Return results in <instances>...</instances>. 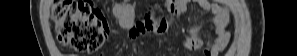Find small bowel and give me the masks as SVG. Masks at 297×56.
<instances>
[{"instance_id":"c3829d8e","label":"small bowel","mask_w":297,"mask_h":56,"mask_svg":"<svg viewBox=\"0 0 297 56\" xmlns=\"http://www.w3.org/2000/svg\"><path fill=\"white\" fill-rule=\"evenodd\" d=\"M188 3V0H169L166 2V9L170 14L181 15L187 11ZM194 3L205 14H215L211 26L216 33V38L213 40L203 39L200 36V26L195 25L186 30L182 37V45L189 50L203 49V53L206 56H217L229 43L230 35L225 30V26L230 22V15L219 4L211 3L207 0H195ZM113 14L121 27L130 30L129 36L131 39H135L148 32L163 34L168 28L167 21L156 17L152 8L148 9L143 19L135 24L134 7L128 1L117 3L113 7ZM133 50L137 54L141 53V49L136 45H133Z\"/></svg>"}]
</instances>
